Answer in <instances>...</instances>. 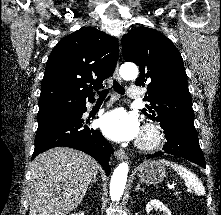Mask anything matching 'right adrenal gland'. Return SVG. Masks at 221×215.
Instances as JSON below:
<instances>
[{"label": "right adrenal gland", "instance_id": "right-adrenal-gland-1", "mask_svg": "<svg viewBox=\"0 0 221 215\" xmlns=\"http://www.w3.org/2000/svg\"><path fill=\"white\" fill-rule=\"evenodd\" d=\"M97 181V175L94 176L93 180L90 182V188L93 186L94 183Z\"/></svg>", "mask_w": 221, "mask_h": 215}]
</instances>
